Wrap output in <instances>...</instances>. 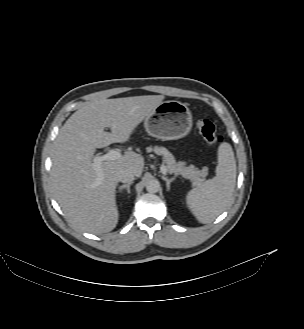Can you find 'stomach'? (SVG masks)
<instances>
[{
  "mask_svg": "<svg viewBox=\"0 0 304 329\" xmlns=\"http://www.w3.org/2000/svg\"><path fill=\"white\" fill-rule=\"evenodd\" d=\"M145 129L152 137L176 140L186 136L192 128V114L186 104L165 101L145 118Z\"/></svg>",
  "mask_w": 304,
  "mask_h": 329,
  "instance_id": "1",
  "label": "stomach"
}]
</instances>
